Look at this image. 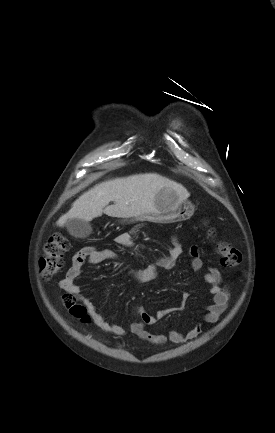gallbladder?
I'll list each match as a JSON object with an SVG mask.
<instances>
[{
    "label": "gallbladder",
    "instance_id": "obj_1",
    "mask_svg": "<svg viewBox=\"0 0 275 433\" xmlns=\"http://www.w3.org/2000/svg\"><path fill=\"white\" fill-rule=\"evenodd\" d=\"M66 228L75 238H86L92 232L90 223L80 219H69L66 222Z\"/></svg>",
    "mask_w": 275,
    "mask_h": 433
}]
</instances>
